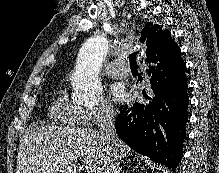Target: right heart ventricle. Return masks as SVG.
Listing matches in <instances>:
<instances>
[{
    "label": "right heart ventricle",
    "instance_id": "1",
    "mask_svg": "<svg viewBox=\"0 0 219 173\" xmlns=\"http://www.w3.org/2000/svg\"><path fill=\"white\" fill-rule=\"evenodd\" d=\"M50 116L54 121L64 126L80 125L79 108L69 101L64 89L59 90L53 100Z\"/></svg>",
    "mask_w": 219,
    "mask_h": 173
}]
</instances>
